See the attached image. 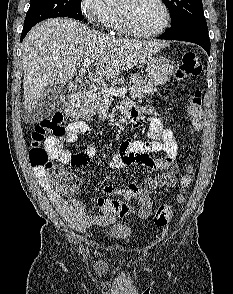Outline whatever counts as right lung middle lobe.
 Returning <instances> with one entry per match:
<instances>
[{"label":"right lung middle lobe","mask_w":233,"mask_h":294,"mask_svg":"<svg viewBox=\"0 0 233 294\" xmlns=\"http://www.w3.org/2000/svg\"><path fill=\"white\" fill-rule=\"evenodd\" d=\"M55 17L82 19L81 0H30L24 28H32L36 23Z\"/></svg>","instance_id":"1"}]
</instances>
